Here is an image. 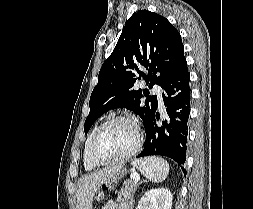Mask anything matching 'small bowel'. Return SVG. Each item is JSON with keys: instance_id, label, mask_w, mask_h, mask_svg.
Instances as JSON below:
<instances>
[{"instance_id": "c3829d8e", "label": "small bowel", "mask_w": 253, "mask_h": 209, "mask_svg": "<svg viewBox=\"0 0 253 209\" xmlns=\"http://www.w3.org/2000/svg\"><path fill=\"white\" fill-rule=\"evenodd\" d=\"M103 209H129L128 205L126 203H115V202H109L104 206Z\"/></svg>"}]
</instances>
